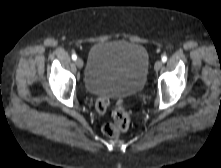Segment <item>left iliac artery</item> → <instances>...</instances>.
<instances>
[{
  "instance_id": "44dca946",
  "label": "left iliac artery",
  "mask_w": 221,
  "mask_h": 168,
  "mask_svg": "<svg viewBox=\"0 0 221 168\" xmlns=\"http://www.w3.org/2000/svg\"><path fill=\"white\" fill-rule=\"evenodd\" d=\"M167 61V56H162V62H166Z\"/></svg>"
}]
</instances>
